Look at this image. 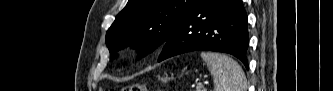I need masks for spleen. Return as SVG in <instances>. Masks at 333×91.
Listing matches in <instances>:
<instances>
[{
	"label": "spleen",
	"mask_w": 333,
	"mask_h": 91,
	"mask_svg": "<svg viewBox=\"0 0 333 91\" xmlns=\"http://www.w3.org/2000/svg\"><path fill=\"white\" fill-rule=\"evenodd\" d=\"M214 78L215 91H246L247 81L240 65L226 54L201 52Z\"/></svg>",
	"instance_id": "3e777b00"
}]
</instances>
